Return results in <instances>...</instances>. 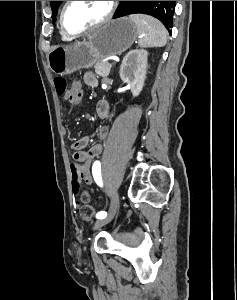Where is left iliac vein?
<instances>
[{
    "mask_svg": "<svg viewBox=\"0 0 237 300\" xmlns=\"http://www.w3.org/2000/svg\"><path fill=\"white\" fill-rule=\"evenodd\" d=\"M119 205V197L117 192L113 195L112 198V202L111 205L109 207V211H108V215L106 218H104L103 220H98L95 224H94V229H97L103 225H105L106 223H108L110 220H112L115 216V213L117 211Z\"/></svg>",
    "mask_w": 237,
    "mask_h": 300,
    "instance_id": "1",
    "label": "left iliac vein"
}]
</instances>
